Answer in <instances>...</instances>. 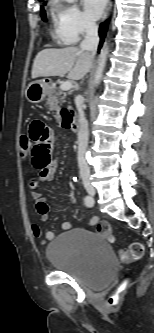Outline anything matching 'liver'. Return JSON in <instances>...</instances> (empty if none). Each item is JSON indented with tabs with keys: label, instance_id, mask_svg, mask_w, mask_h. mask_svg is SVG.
<instances>
[{
	"label": "liver",
	"instance_id": "obj_1",
	"mask_svg": "<svg viewBox=\"0 0 154 333\" xmlns=\"http://www.w3.org/2000/svg\"><path fill=\"white\" fill-rule=\"evenodd\" d=\"M92 64L91 53L78 47L48 48L40 51L34 59L31 76H63L68 73L72 80L82 79Z\"/></svg>",
	"mask_w": 154,
	"mask_h": 333
}]
</instances>
